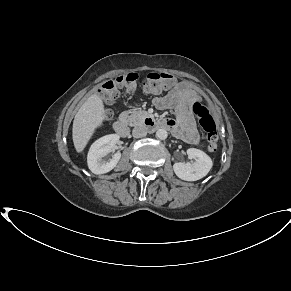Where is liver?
Returning a JSON list of instances; mask_svg holds the SVG:
<instances>
[{"instance_id":"1","label":"liver","mask_w":291,"mask_h":291,"mask_svg":"<svg viewBox=\"0 0 291 291\" xmlns=\"http://www.w3.org/2000/svg\"><path fill=\"white\" fill-rule=\"evenodd\" d=\"M105 108L101 97L94 93L81 105L73 121L72 138L76 151L81 153L105 120Z\"/></svg>"}]
</instances>
